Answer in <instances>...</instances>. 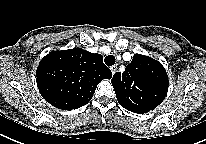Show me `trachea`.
<instances>
[{
  "instance_id": "trachea-1",
  "label": "trachea",
  "mask_w": 206,
  "mask_h": 144,
  "mask_svg": "<svg viewBox=\"0 0 206 144\" xmlns=\"http://www.w3.org/2000/svg\"><path fill=\"white\" fill-rule=\"evenodd\" d=\"M115 61H116V59H115V57L113 56V55H108V56H106L105 57V59H104V62H105V64L107 65V66H112V65H114L115 64Z\"/></svg>"
}]
</instances>
